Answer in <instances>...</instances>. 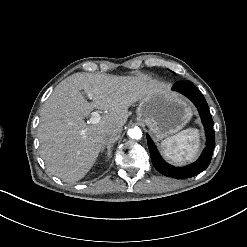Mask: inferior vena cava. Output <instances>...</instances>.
Wrapping results in <instances>:
<instances>
[{
  "label": "inferior vena cava",
  "mask_w": 247,
  "mask_h": 247,
  "mask_svg": "<svg viewBox=\"0 0 247 247\" xmlns=\"http://www.w3.org/2000/svg\"><path fill=\"white\" fill-rule=\"evenodd\" d=\"M123 132V126L120 124H111L105 128V134L113 141H117Z\"/></svg>",
  "instance_id": "602c4592"
}]
</instances>
